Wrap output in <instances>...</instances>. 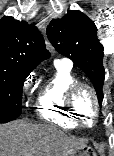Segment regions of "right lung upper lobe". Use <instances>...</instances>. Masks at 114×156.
<instances>
[{
	"label": "right lung upper lobe",
	"mask_w": 114,
	"mask_h": 156,
	"mask_svg": "<svg viewBox=\"0 0 114 156\" xmlns=\"http://www.w3.org/2000/svg\"><path fill=\"white\" fill-rule=\"evenodd\" d=\"M50 57L34 25L5 16L0 20V70L31 72Z\"/></svg>",
	"instance_id": "obj_1"
}]
</instances>
